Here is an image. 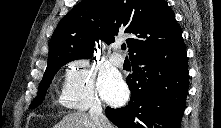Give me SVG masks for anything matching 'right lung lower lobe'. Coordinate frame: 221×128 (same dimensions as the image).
<instances>
[{"label": "right lung lower lobe", "instance_id": "98d812e1", "mask_svg": "<svg viewBox=\"0 0 221 128\" xmlns=\"http://www.w3.org/2000/svg\"><path fill=\"white\" fill-rule=\"evenodd\" d=\"M127 106L106 108L118 128H180L189 87L186 47L176 43L131 58Z\"/></svg>", "mask_w": 221, "mask_h": 128}]
</instances>
